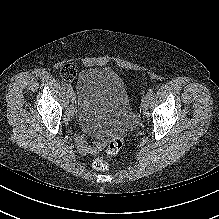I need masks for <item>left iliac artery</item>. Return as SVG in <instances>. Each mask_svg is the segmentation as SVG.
I'll use <instances>...</instances> for the list:
<instances>
[{
	"instance_id": "obj_1",
	"label": "left iliac artery",
	"mask_w": 219,
	"mask_h": 219,
	"mask_svg": "<svg viewBox=\"0 0 219 219\" xmlns=\"http://www.w3.org/2000/svg\"><path fill=\"white\" fill-rule=\"evenodd\" d=\"M153 92H154V89L153 88H150L149 90H148V92H147V96H149V97H151L152 96V94H153Z\"/></svg>"
}]
</instances>
